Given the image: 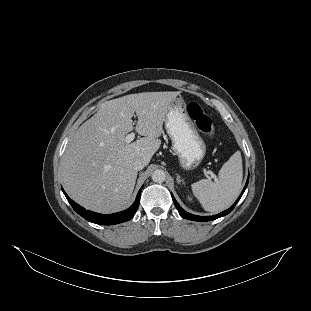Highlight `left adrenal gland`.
Listing matches in <instances>:
<instances>
[{
  "label": "left adrenal gland",
  "mask_w": 311,
  "mask_h": 311,
  "mask_svg": "<svg viewBox=\"0 0 311 311\" xmlns=\"http://www.w3.org/2000/svg\"><path fill=\"white\" fill-rule=\"evenodd\" d=\"M176 181H177V183L179 184V183H183V184H185V182H184V180L182 179H180V175L179 174H177V177H176Z\"/></svg>",
  "instance_id": "a2214340"
}]
</instances>
